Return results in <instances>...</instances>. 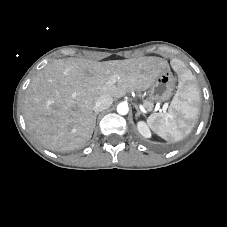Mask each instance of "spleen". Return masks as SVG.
Instances as JSON below:
<instances>
[{
  "mask_svg": "<svg viewBox=\"0 0 227 227\" xmlns=\"http://www.w3.org/2000/svg\"><path fill=\"white\" fill-rule=\"evenodd\" d=\"M174 68L181 72L179 89L171 102L168 114H154L148 119V125L161 138L167 141H180L193 128V121L199 112V89L189 70H180L177 62Z\"/></svg>",
  "mask_w": 227,
  "mask_h": 227,
  "instance_id": "3e777b00",
  "label": "spleen"
}]
</instances>
